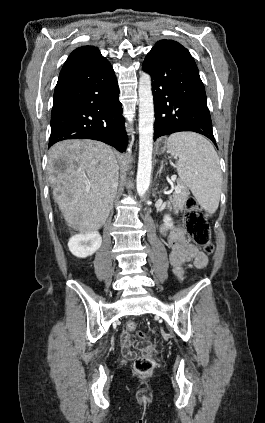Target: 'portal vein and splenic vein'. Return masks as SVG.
Instances as JSON below:
<instances>
[{
    "label": "portal vein and splenic vein",
    "mask_w": 265,
    "mask_h": 423,
    "mask_svg": "<svg viewBox=\"0 0 265 423\" xmlns=\"http://www.w3.org/2000/svg\"><path fill=\"white\" fill-rule=\"evenodd\" d=\"M175 192L180 193L181 192L180 188L179 187H175Z\"/></svg>",
    "instance_id": "1"
}]
</instances>
